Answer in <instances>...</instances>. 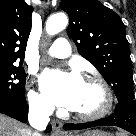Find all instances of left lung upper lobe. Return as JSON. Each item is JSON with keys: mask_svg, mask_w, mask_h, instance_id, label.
<instances>
[{"mask_svg": "<svg viewBox=\"0 0 136 136\" xmlns=\"http://www.w3.org/2000/svg\"><path fill=\"white\" fill-rule=\"evenodd\" d=\"M68 31L80 54L112 86L118 102L135 100L132 61L120 17L97 0H62Z\"/></svg>", "mask_w": 136, "mask_h": 136, "instance_id": "left-lung-upper-lobe-1", "label": "left lung upper lobe"}]
</instances>
